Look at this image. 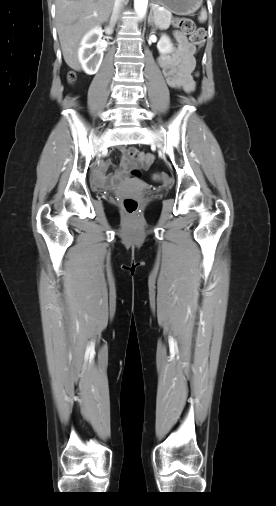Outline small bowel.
Instances as JSON below:
<instances>
[{
    "instance_id": "1",
    "label": "small bowel",
    "mask_w": 276,
    "mask_h": 506,
    "mask_svg": "<svg viewBox=\"0 0 276 506\" xmlns=\"http://www.w3.org/2000/svg\"><path fill=\"white\" fill-rule=\"evenodd\" d=\"M178 48L167 59H160L159 63L167 84L187 93L194 90L195 84L191 77L194 67V47L181 32L176 33ZM152 162L149 154H143L134 147L123 148L119 169L111 176H105L104 171L110 165L108 161L99 164L93 173L94 185L98 189H106L124 182L128 171L140 163L143 168H148Z\"/></svg>"
}]
</instances>
